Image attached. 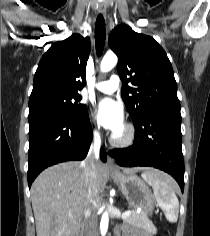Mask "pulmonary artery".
I'll return each instance as SVG.
<instances>
[{
  "label": "pulmonary artery",
  "mask_w": 210,
  "mask_h": 236,
  "mask_svg": "<svg viewBox=\"0 0 210 236\" xmlns=\"http://www.w3.org/2000/svg\"><path fill=\"white\" fill-rule=\"evenodd\" d=\"M120 85V78L116 75L110 77L108 81L101 82L95 85V88L106 94L114 92Z\"/></svg>",
  "instance_id": "1"
}]
</instances>
